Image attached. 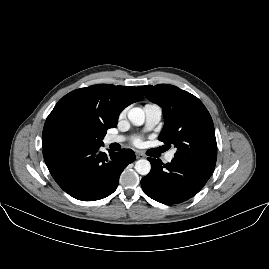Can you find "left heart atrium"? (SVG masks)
Instances as JSON below:
<instances>
[{"label":"left heart atrium","mask_w":269,"mask_h":269,"mask_svg":"<svg viewBox=\"0 0 269 269\" xmlns=\"http://www.w3.org/2000/svg\"><path fill=\"white\" fill-rule=\"evenodd\" d=\"M134 144L137 145V146H140L141 145V141L140 140H135L134 141Z\"/></svg>","instance_id":"39dd6f15"}]
</instances>
